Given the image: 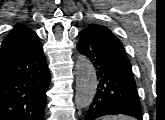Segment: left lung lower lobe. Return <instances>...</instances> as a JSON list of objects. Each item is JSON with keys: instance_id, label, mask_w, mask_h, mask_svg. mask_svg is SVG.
<instances>
[{"instance_id": "0a47b994", "label": "left lung lower lobe", "mask_w": 165, "mask_h": 120, "mask_svg": "<svg viewBox=\"0 0 165 120\" xmlns=\"http://www.w3.org/2000/svg\"><path fill=\"white\" fill-rule=\"evenodd\" d=\"M78 51L96 68L97 92L85 120L109 114L142 120L131 64L119 39L106 27L90 25L78 34Z\"/></svg>"}]
</instances>
